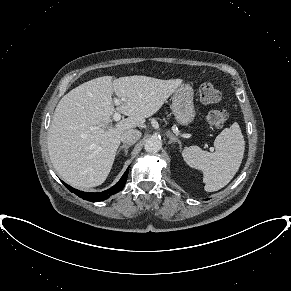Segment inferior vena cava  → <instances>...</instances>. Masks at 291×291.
Listing matches in <instances>:
<instances>
[{"label": "inferior vena cava", "mask_w": 291, "mask_h": 291, "mask_svg": "<svg viewBox=\"0 0 291 291\" xmlns=\"http://www.w3.org/2000/svg\"><path fill=\"white\" fill-rule=\"evenodd\" d=\"M141 137V132L135 129H129L121 134L120 140L124 143L134 144Z\"/></svg>", "instance_id": "inferior-vena-cava-1"}]
</instances>
